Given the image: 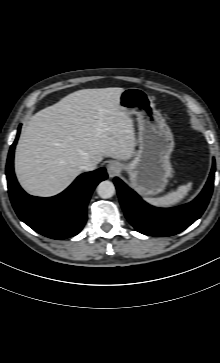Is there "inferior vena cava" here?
Masks as SVG:
<instances>
[{
	"label": "inferior vena cava",
	"instance_id": "inferior-vena-cava-1",
	"mask_svg": "<svg viewBox=\"0 0 220 363\" xmlns=\"http://www.w3.org/2000/svg\"><path fill=\"white\" fill-rule=\"evenodd\" d=\"M97 164L93 161H87L85 164L81 166V169L84 171H93L96 169Z\"/></svg>",
	"mask_w": 220,
	"mask_h": 363
}]
</instances>
